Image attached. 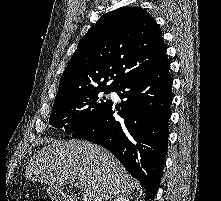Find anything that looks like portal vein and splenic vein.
I'll use <instances>...</instances> for the list:
<instances>
[{
	"mask_svg": "<svg viewBox=\"0 0 221 201\" xmlns=\"http://www.w3.org/2000/svg\"><path fill=\"white\" fill-rule=\"evenodd\" d=\"M76 185H77V187H78V188L83 189V184H82V183H80L79 181H78V182H76Z\"/></svg>",
	"mask_w": 221,
	"mask_h": 201,
	"instance_id": "18ae733b",
	"label": "portal vein and splenic vein"
}]
</instances>
